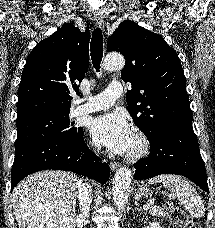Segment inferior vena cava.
<instances>
[{
    "label": "inferior vena cava",
    "instance_id": "obj_1",
    "mask_svg": "<svg viewBox=\"0 0 215 228\" xmlns=\"http://www.w3.org/2000/svg\"><path fill=\"white\" fill-rule=\"evenodd\" d=\"M77 198L81 208L83 218H87L90 212V204L92 202V190L90 184L85 180L76 182Z\"/></svg>",
    "mask_w": 215,
    "mask_h": 228
}]
</instances>
